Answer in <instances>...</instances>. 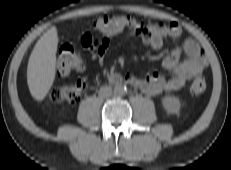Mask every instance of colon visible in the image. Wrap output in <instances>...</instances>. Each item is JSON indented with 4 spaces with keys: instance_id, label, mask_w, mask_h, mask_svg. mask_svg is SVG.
Masks as SVG:
<instances>
[{
    "instance_id": "obj_1",
    "label": "colon",
    "mask_w": 231,
    "mask_h": 170,
    "mask_svg": "<svg viewBox=\"0 0 231 170\" xmlns=\"http://www.w3.org/2000/svg\"><path fill=\"white\" fill-rule=\"evenodd\" d=\"M95 32L105 35H115L125 30L140 34L144 25L137 18L130 15L106 14L96 18L92 23ZM83 61L70 45L60 48L57 57V72L60 75H68L72 72L83 70ZM88 82L80 77L73 83L52 89L48 98L54 103L73 104L78 102L86 93ZM206 90V81L203 77L193 80L190 91L193 95H200Z\"/></svg>"
}]
</instances>
